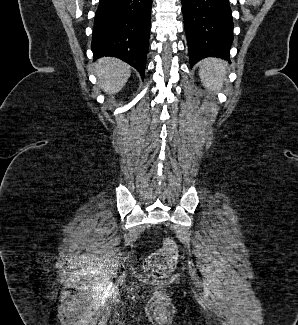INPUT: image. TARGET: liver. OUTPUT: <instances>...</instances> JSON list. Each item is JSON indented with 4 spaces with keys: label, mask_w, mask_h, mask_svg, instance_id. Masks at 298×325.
<instances>
[{
    "label": "liver",
    "mask_w": 298,
    "mask_h": 325,
    "mask_svg": "<svg viewBox=\"0 0 298 325\" xmlns=\"http://www.w3.org/2000/svg\"><path fill=\"white\" fill-rule=\"evenodd\" d=\"M95 74L99 78V86L106 94H116L125 86L130 74V66L112 56H103L95 64Z\"/></svg>",
    "instance_id": "1"
}]
</instances>
